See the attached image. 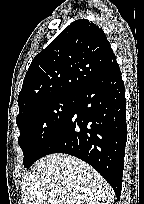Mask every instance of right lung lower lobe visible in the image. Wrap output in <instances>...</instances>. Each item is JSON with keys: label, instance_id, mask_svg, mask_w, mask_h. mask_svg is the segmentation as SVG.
<instances>
[{"label": "right lung lower lobe", "instance_id": "right-lung-lower-lobe-1", "mask_svg": "<svg viewBox=\"0 0 144 204\" xmlns=\"http://www.w3.org/2000/svg\"><path fill=\"white\" fill-rule=\"evenodd\" d=\"M125 114V89L117 64L76 94L41 157L67 153L82 159L106 179L119 200L127 140Z\"/></svg>", "mask_w": 144, "mask_h": 204}]
</instances>
